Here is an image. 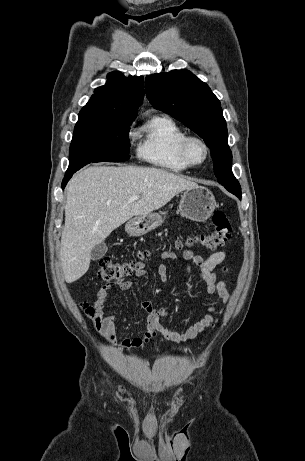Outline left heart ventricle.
Returning <instances> with one entry per match:
<instances>
[{"label": "left heart ventricle", "mask_w": 305, "mask_h": 461, "mask_svg": "<svg viewBox=\"0 0 305 461\" xmlns=\"http://www.w3.org/2000/svg\"><path fill=\"white\" fill-rule=\"evenodd\" d=\"M190 154L194 161L199 162L204 158V149L198 143H192L190 146Z\"/></svg>", "instance_id": "obj_1"}]
</instances>
